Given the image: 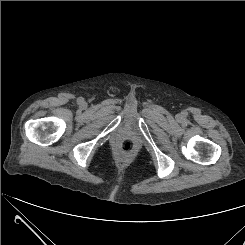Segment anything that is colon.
<instances>
[{
    "mask_svg": "<svg viewBox=\"0 0 245 245\" xmlns=\"http://www.w3.org/2000/svg\"><path fill=\"white\" fill-rule=\"evenodd\" d=\"M118 150L123 156H131L134 153V144L128 139L122 140L119 143Z\"/></svg>",
    "mask_w": 245,
    "mask_h": 245,
    "instance_id": "obj_1",
    "label": "colon"
}]
</instances>
